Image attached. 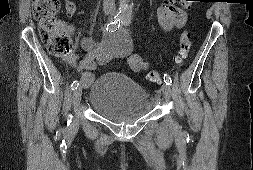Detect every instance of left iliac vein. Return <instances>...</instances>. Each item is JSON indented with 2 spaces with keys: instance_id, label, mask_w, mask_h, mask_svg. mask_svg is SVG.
Masks as SVG:
<instances>
[{
  "instance_id": "left-iliac-vein-1",
  "label": "left iliac vein",
  "mask_w": 253,
  "mask_h": 170,
  "mask_svg": "<svg viewBox=\"0 0 253 170\" xmlns=\"http://www.w3.org/2000/svg\"><path fill=\"white\" fill-rule=\"evenodd\" d=\"M162 92H163V95H164L165 99L170 100V98H171V88H170V86L167 85V84H164L162 86Z\"/></svg>"
}]
</instances>
